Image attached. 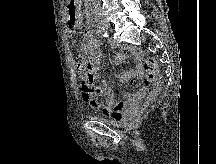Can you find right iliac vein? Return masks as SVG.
I'll return each instance as SVG.
<instances>
[{
	"mask_svg": "<svg viewBox=\"0 0 216 164\" xmlns=\"http://www.w3.org/2000/svg\"><path fill=\"white\" fill-rule=\"evenodd\" d=\"M99 22H100L106 29L110 28V23L108 22L107 19L101 18V19L99 20Z\"/></svg>",
	"mask_w": 216,
	"mask_h": 164,
	"instance_id": "obj_1",
	"label": "right iliac vein"
}]
</instances>
